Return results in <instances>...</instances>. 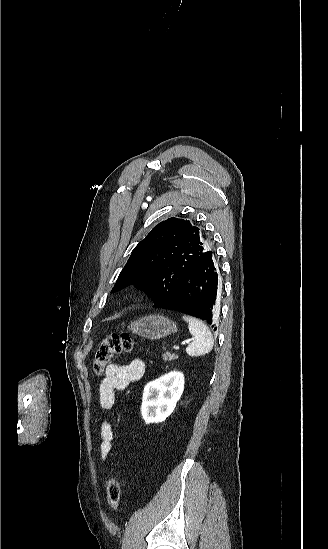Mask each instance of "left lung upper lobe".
Instances as JSON below:
<instances>
[{
  "label": "left lung upper lobe",
  "mask_w": 328,
  "mask_h": 549,
  "mask_svg": "<svg viewBox=\"0 0 328 549\" xmlns=\"http://www.w3.org/2000/svg\"><path fill=\"white\" fill-rule=\"evenodd\" d=\"M203 253L199 228L171 217L156 225L134 248L112 292L134 283L154 302L164 299Z\"/></svg>",
  "instance_id": "1"
}]
</instances>
